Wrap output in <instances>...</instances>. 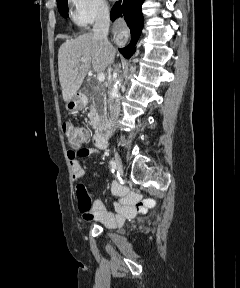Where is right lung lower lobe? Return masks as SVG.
<instances>
[{"label": "right lung lower lobe", "instance_id": "1", "mask_svg": "<svg viewBox=\"0 0 240 288\" xmlns=\"http://www.w3.org/2000/svg\"><path fill=\"white\" fill-rule=\"evenodd\" d=\"M143 2L144 0L118 1L111 10V20L114 21L116 18L124 16L125 21L131 31V43L128 46L119 49V51L126 58H129L134 53L136 41L143 28V15L141 12Z\"/></svg>", "mask_w": 240, "mask_h": 288}]
</instances>
